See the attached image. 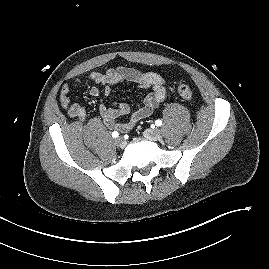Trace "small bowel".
Instances as JSON below:
<instances>
[{
    "mask_svg": "<svg viewBox=\"0 0 269 269\" xmlns=\"http://www.w3.org/2000/svg\"><path fill=\"white\" fill-rule=\"evenodd\" d=\"M87 80L97 84L90 89V95L93 97L101 94L108 97L117 84L124 82L135 83L140 88L151 90L137 107H132L127 103L106 105L102 102L99 105L98 111L106 127L123 133L130 131L138 121L150 116L166 98V81L154 72L121 66L109 69L105 73L93 72L88 75ZM79 82L80 79L74 81L75 84ZM71 88V84H63L60 91V104L69 117L84 121L86 110L81 104L71 100ZM120 117H126V119L120 122L118 121Z\"/></svg>",
    "mask_w": 269,
    "mask_h": 269,
    "instance_id": "small-bowel-1",
    "label": "small bowel"
}]
</instances>
